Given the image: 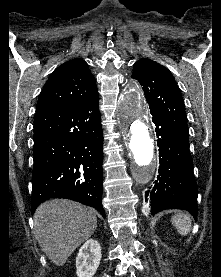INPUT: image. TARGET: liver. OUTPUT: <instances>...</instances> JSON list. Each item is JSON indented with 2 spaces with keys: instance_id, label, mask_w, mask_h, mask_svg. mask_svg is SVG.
<instances>
[{
  "instance_id": "liver-1",
  "label": "liver",
  "mask_w": 221,
  "mask_h": 277,
  "mask_svg": "<svg viewBox=\"0 0 221 277\" xmlns=\"http://www.w3.org/2000/svg\"><path fill=\"white\" fill-rule=\"evenodd\" d=\"M96 228L95 211L70 200H48L34 214L35 238L42 251L57 266L64 265Z\"/></svg>"
}]
</instances>
